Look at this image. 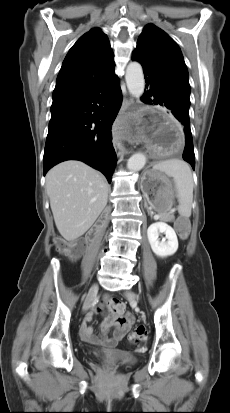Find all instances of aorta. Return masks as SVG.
<instances>
[{
	"instance_id": "762f6f07",
	"label": "aorta",
	"mask_w": 230,
	"mask_h": 413,
	"mask_svg": "<svg viewBox=\"0 0 230 413\" xmlns=\"http://www.w3.org/2000/svg\"><path fill=\"white\" fill-rule=\"evenodd\" d=\"M125 79L129 93L139 99L143 95L145 88L144 74L140 63L130 62L128 64ZM145 164L146 156L143 153H136L129 158L127 168L130 171L137 172L140 171Z\"/></svg>"
}]
</instances>
